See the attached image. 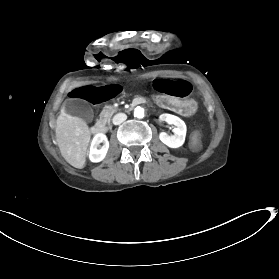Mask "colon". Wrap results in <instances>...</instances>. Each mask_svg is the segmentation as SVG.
<instances>
[{
  "instance_id": "5ec220e1",
  "label": "colon",
  "mask_w": 279,
  "mask_h": 279,
  "mask_svg": "<svg viewBox=\"0 0 279 279\" xmlns=\"http://www.w3.org/2000/svg\"><path fill=\"white\" fill-rule=\"evenodd\" d=\"M194 137H195V139H198V134H195Z\"/></svg>"
}]
</instances>
